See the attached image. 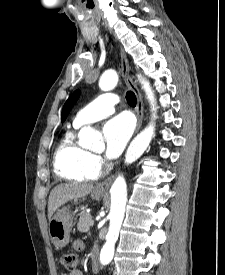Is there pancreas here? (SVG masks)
I'll return each instance as SVG.
<instances>
[{
	"mask_svg": "<svg viewBox=\"0 0 225 275\" xmlns=\"http://www.w3.org/2000/svg\"><path fill=\"white\" fill-rule=\"evenodd\" d=\"M91 220H92L91 214L86 212H81L79 222L77 224V229L80 232H88L90 227L92 226Z\"/></svg>",
	"mask_w": 225,
	"mask_h": 275,
	"instance_id": "pancreas-1",
	"label": "pancreas"
}]
</instances>
